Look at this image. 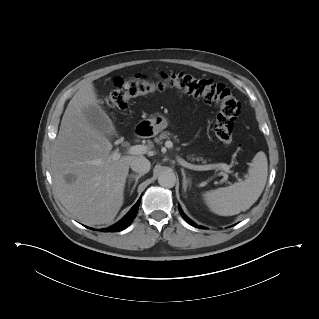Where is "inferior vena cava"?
Instances as JSON below:
<instances>
[{"instance_id": "602c4592", "label": "inferior vena cava", "mask_w": 319, "mask_h": 319, "mask_svg": "<svg viewBox=\"0 0 319 319\" xmlns=\"http://www.w3.org/2000/svg\"><path fill=\"white\" fill-rule=\"evenodd\" d=\"M130 167L133 171L140 173V174H145L149 172L151 168V163L148 159L145 157H136L131 163Z\"/></svg>"}]
</instances>
